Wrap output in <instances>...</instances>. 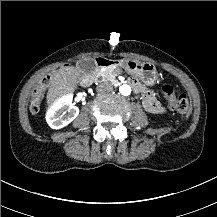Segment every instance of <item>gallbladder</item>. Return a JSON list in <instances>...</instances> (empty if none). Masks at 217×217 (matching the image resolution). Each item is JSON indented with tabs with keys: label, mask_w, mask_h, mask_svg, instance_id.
I'll return each mask as SVG.
<instances>
[{
	"label": "gallbladder",
	"mask_w": 217,
	"mask_h": 217,
	"mask_svg": "<svg viewBox=\"0 0 217 217\" xmlns=\"http://www.w3.org/2000/svg\"><path fill=\"white\" fill-rule=\"evenodd\" d=\"M79 66L83 70H87L89 73H92L95 70L96 64L93 59H86L82 60Z\"/></svg>",
	"instance_id": "bac80fb5"
}]
</instances>
